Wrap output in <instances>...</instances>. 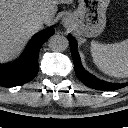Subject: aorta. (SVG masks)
Here are the masks:
<instances>
[{"mask_svg": "<svg viewBox=\"0 0 128 128\" xmlns=\"http://www.w3.org/2000/svg\"><path fill=\"white\" fill-rule=\"evenodd\" d=\"M69 45L68 39L63 35H53L49 38L48 46L54 52H62Z\"/></svg>", "mask_w": 128, "mask_h": 128, "instance_id": "762f6f07", "label": "aorta"}]
</instances>
